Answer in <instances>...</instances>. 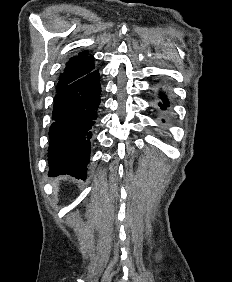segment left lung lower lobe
<instances>
[{"label": "left lung lower lobe", "instance_id": "left-lung-lower-lobe-1", "mask_svg": "<svg viewBox=\"0 0 232 282\" xmlns=\"http://www.w3.org/2000/svg\"><path fill=\"white\" fill-rule=\"evenodd\" d=\"M158 96L160 98V102H158V106L160 107L161 110H167V108L169 107L170 102H169V100H168V98L166 96L165 91L162 90V89L159 90L158 91ZM162 121H164V120H162Z\"/></svg>", "mask_w": 232, "mask_h": 282}]
</instances>
